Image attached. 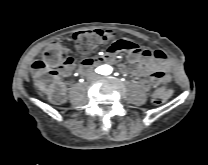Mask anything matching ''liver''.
Masks as SVG:
<instances>
[{"label": "liver", "mask_w": 208, "mask_h": 165, "mask_svg": "<svg viewBox=\"0 0 208 165\" xmlns=\"http://www.w3.org/2000/svg\"><path fill=\"white\" fill-rule=\"evenodd\" d=\"M38 88H39L40 91H45V85H44V83L43 82H39L38 83Z\"/></svg>", "instance_id": "1"}]
</instances>
